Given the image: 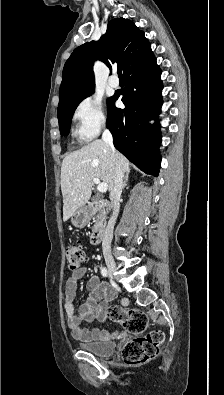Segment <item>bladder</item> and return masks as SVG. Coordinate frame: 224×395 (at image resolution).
<instances>
[{
  "instance_id": "31cf9c89",
  "label": "bladder",
  "mask_w": 224,
  "mask_h": 395,
  "mask_svg": "<svg viewBox=\"0 0 224 395\" xmlns=\"http://www.w3.org/2000/svg\"><path fill=\"white\" fill-rule=\"evenodd\" d=\"M79 348L89 354L105 357L113 354L116 349V344L111 341H89L78 344Z\"/></svg>"
}]
</instances>
